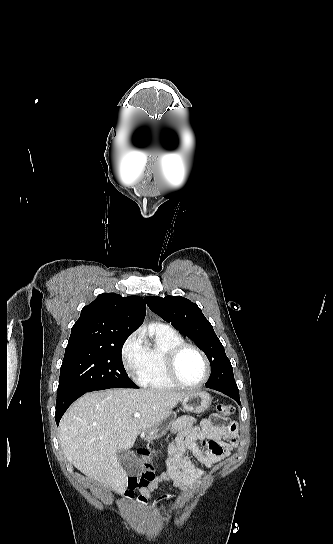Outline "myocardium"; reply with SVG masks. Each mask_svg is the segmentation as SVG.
I'll list each match as a JSON object with an SVG mask.
<instances>
[{
  "label": "myocardium",
  "instance_id": "myocardium-1",
  "mask_svg": "<svg viewBox=\"0 0 333 544\" xmlns=\"http://www.w3.org/2000/svg\"><path fill=\"white\" fill-rule=\"evenodd\" d=\"M188 350H192V351H195L196 353H198L201 356V358L203 359L204 364H205V368H206V373H205V376H204L203 380H201L199 383H196V384H189V383L184 382L180 378L179 373H178L179 359L183 355V353H185ZM165 370H166V374H167L168 378L175 385H177L179 387H182V388H186V389H196V388L202 387L203 385H205L208 382V380H209V378L211 376V364H210V361H209L207 355L204 353V351L202 349H200L196 345L186 343V342H183L181 344H178V345L174 346L173 348H171L167 352L166 357H165Z\"/></svg>",
  "mask_w": 333,
  "mask_h": 544
}]
</instances>
